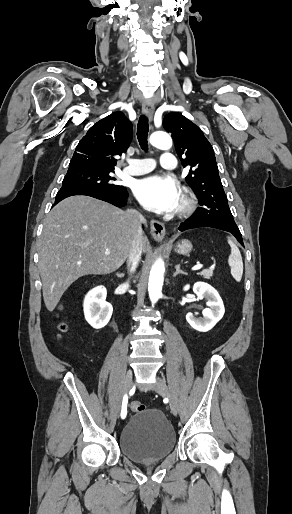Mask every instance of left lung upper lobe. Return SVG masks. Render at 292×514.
Instances as JSON below:
<instances>
[{
	"instance_id": "1",
	"label": "left lung upper lobe",
	"mask_w": 292,
	"mask_h": 514,
	"mask_svg": "<svg viewBox=\"0 0 292 514\" xmlns=\"http://www.w3.org/2000/svg\"><path fill=\"white\" fill-rule=\"evenodd\" d=\"M163 126L172 133L183 167L190 168L186 182L200 205L195 216L235 223L219 177L213 147L201 129L177 112L167 114Z\"/></svg>"
}]
</instances>
